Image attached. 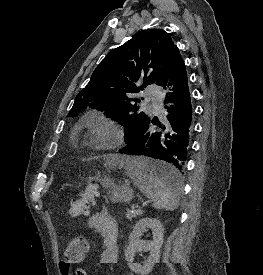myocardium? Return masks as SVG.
I'll list each match as a JSON object with an SVG mask.
<instances>
[{
  "instance_id": "1",
  "label": "myocardium",
  "mask_w": 263,
  "mask_h": 275,
  "mask_svg": "<svg viewBox=\"0 0 263 275\" xmlns=\"http://www.w3.org/2000/svg\"><path fill=\"white\" fill-rule=\"evenodd\" d=\"M84 143L96 148H113L120 138L116 122L103 113H94L87 117L81 129Z\"/></svg>"
}]
</instances>
